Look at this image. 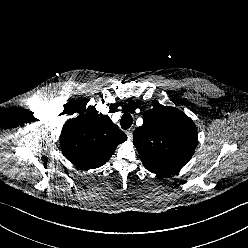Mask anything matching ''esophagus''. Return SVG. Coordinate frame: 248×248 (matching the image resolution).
Wrapping results in <instances>:
<instances>
[{"label":"esophagus","mask_w":248,"mask_h":248,"mask_svg":"<svg viewBox=\"0 0 248 248\" xmlns=\"http://www.w3.org/2000/svg\"><path fill=\"white\" fill-rule=\"evenodd\" d=\"M133 131H134V127H131L130 129L126 131V134L129 140H132L133 138Z\"/></svg>","instance_id":"34e87169"}]
</instances>
